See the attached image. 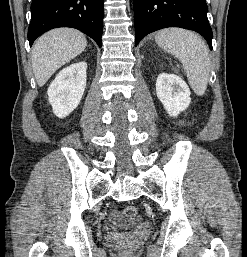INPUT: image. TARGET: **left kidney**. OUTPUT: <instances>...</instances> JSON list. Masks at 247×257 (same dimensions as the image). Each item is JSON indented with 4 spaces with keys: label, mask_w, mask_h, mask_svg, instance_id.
Returning a JSON list of instances; mask_svg holds the SVG:
<instances>
[{
    "label": "left kidney",
    "mask_w": 247,
    "mask_h": 257,
    "mask_svg": "<svg viewBox=\"0 0 247 257\" xmlns=\"http://www.w3.org/2000/svg\"><path fill=\"white\" fill-rule=\"evenodd\" d=\"M156 94L171 117H177L191 102L188 85L174 74H159L156 80Z\"/></svg>",
    "instance_id": "left-kidney-1"
}]
</instances>
